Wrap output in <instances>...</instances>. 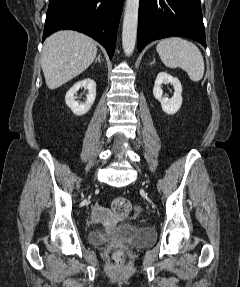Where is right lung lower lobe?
<instances>
[{"label":"right lung lower lobe","mask_w":240,"mask_h":287,"mask_svg":"<svg viewBox=\"0 0 240 287\" xmlns=\"http://www.w3.org/2000/svg\"><path fill=\"white\" fill-rule=\"evenodd\" d=\"M123 0H50L43 41L58 30L82 32L103 45L113 57Z\"/></svg>","instance_id":"obj_1"}]
</instances>
